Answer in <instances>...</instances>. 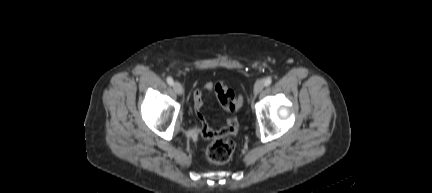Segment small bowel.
I'll return each instance as SVG.
<instances>
[{
  "label": "small bowel",
  "instance_id": "1",
  "mask_svg": "<svg viewBox=\"0 0 432 193\" xmlns=\"http://www.w3.org/2000/svg\"><path fill=\"white\" fill-rule=\"evenodd\" d=\"M204 90L211 92L213 90V84L207 83L204 86ZM203 106V91L195 89L193 91V107L197 113L198 118L201 121V131L202 135L207 139H213L221 136H232L235 135L239 129L238 120L234 116H229L224 122L218 123L216 126L208 124L200 110Z\"/></svg>",
  "mask_w": 432,
  "mask_h": 193
}]
</instances>
